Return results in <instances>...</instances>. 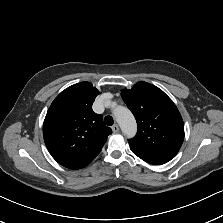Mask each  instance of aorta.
Here are the masks:
<instances>
[{"instance_id": "762f6f07", "label": "aorta", "mask_w": 223, "mask_h": 223, "mask_svg": "<svg viewBox=\"0 0 223 223\" xmlns=\"http://www.w3.org/2000/svg\"><path fill=\"white\" fill-rule=\"evenodd\" d=\"M113 114L123 134L128 138L134 137L137 132V124L131 111L127 107L117 106L113 109Z\"/></svg>"}]
</instances>
